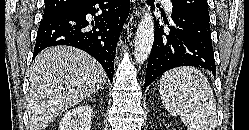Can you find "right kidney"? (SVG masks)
<instances>
[{
  "label": "right kidney",
  "mask_w": 249,
  "mask_h": 130,
  "mask_svg": "<svg viewBox=\"0 0 249 130\" xmlns=\"http://www.w3.org/2000/svg\"><path fill=\"white\" fill-rule=\"evenodd\" d=\"M92 108L82 105L66 112L59 123L60 130H90L92 123Z\"/></svg>",
  "instance_id": "1"
}]
</instances>
